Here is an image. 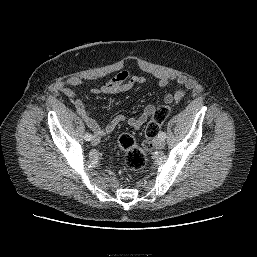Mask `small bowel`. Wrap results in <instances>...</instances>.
Here are the masks:
<instances>
[{
  "label": "small bowel",
  "instance_id": "obj_1",
  "mask_svg": "<svg viewBox=\"0 0 257 257\" xmlns=\"http://www.w3.org/2000/svg\"><path fill=\"white\" fill-rule=\"evenodd\" d=\"M170 80L168 75L162 74L157 77V83L160 86L166 85ZM145 82L144 77L136 74H131L127 71H121L112 77L105 84L95 87L92 92L95 94H115L123 91H127L134 87L135 85L143 84ZM176 83L179 88L174 93L166 94L164 97V102L171 104L173 102L180 101L186 95V93L191 90L195 83L192 79L185 75H180L176 78ZM84 81L79 77H70L60 83V91L67 97L73 100L77 113L81 116L85 124L92 130L95 136L104 137L111 133L119 124L127 123L130 127L134 129H139L147 119L154 113L155 106L147 105L143 112L136 118L126 117L122 114H118L112 117L107 123L101 124L97 119H95L87 106L83 101L76 97L74 90L71 86H81Z\"/></svg>",
  "mask_w": 257,
  "mask_h": 257
}]
</instances>
